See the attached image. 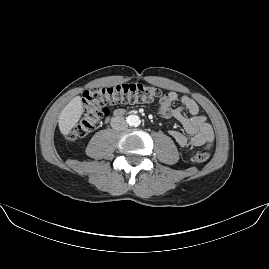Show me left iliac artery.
Segmentation results:
<instances>
[{"label": "left iliac artery", "instance_id": "1", "mask_svg": "<svg viewBox=\"0 0 269 269\" xmlns=\"http://www.w3.org/2000/svg\"><path fill=\"white\" fill-rule=\"evenodd\" d=\"M134 124H135V126H137L139 124V121H136Z\"/></svg>", "mask_w": 269, "mask_h": 269}]
</instances>
